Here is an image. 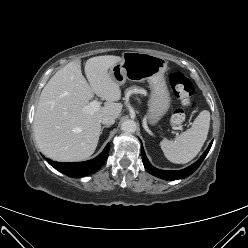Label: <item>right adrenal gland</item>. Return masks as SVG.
<instances>
[{
  "instance_id": "right-adrenal-gland-1",
  "label": "right adrenal gland",
  "mask_w": 248,
  "mask_h": 248,
  "mask_svg": "<svg viewBox=\"0 0 248 248\" xmlns=\"http://www.w3.org/2000/svg\"><path fill=\"white\" fill-rule=\"evenodd\" d=\"M108 127H110V126H109V125H105V126H103V127L101 128V132H100V134H102V133H103L104 128H108Z\"/></svg>"
}]
</instances>
